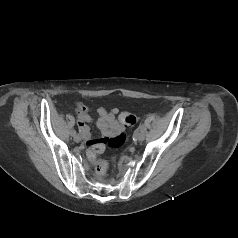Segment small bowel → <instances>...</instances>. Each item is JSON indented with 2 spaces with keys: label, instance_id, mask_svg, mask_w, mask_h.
<instances>
[{
  "label": "small bowel",
  "instance_id": "obj_1",
  "mask_svg": "<svg viewBox=\"0 0 238 238\" xmlns=\"http://www.w3.org/2000/svg\"><path fill=\"white\" fill-rule=\"evenodd\" d=\"M75 112L78 118V127L80 133L85 142L91 147H94L102 141L123 135L122 132L124 131V128L129 127L119 122L117 118L119 110L117 108H113L111 111H107L105 108L100 107L97 109V113L99 115V118L97 120V127L101 131L104 139L97 140L90 135V128L88 126V123L92 121V117L89 113V108L82 103H77Z\"/></svg>",
  "mask_w": 238,
  "mask_h": 238
}]
</instances>
